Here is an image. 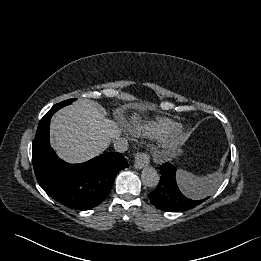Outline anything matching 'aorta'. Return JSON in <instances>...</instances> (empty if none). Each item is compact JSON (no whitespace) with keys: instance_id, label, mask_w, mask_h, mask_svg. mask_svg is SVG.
<instances>
[{"instance_id":"762f6f07","label":"aorta","mask_w":261,"mask_h":261,"mask_svg":"<svg viewBox=\"0 0 261 261\" xmlns=\"http://www.w3.org/2000/svg\"><path fill=\"white\" fill-rule=\"evenodd\" d=\"M141 179L145 186L154 188L159 183V174L153 167H146L142 170Z\"/></svg>"}]
</instances>
